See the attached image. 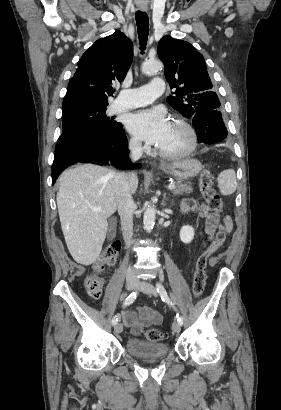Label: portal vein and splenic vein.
Here are the masks:
<instances>
[{"label": "portal vein and splenic vein", "mask_w": 281, "mask_h": 410, "mask_svg": "<svg viewBox=\"0 0 281 410\" xmlns=\"http://www.w3.org/2000/svg\"><path fill=\"white\" fill-rule=\"evenodd\" d=\"M168 189H169V190L175 189V185H174V184H169V185H168ZM101 210H102L101 207H93V208H92V211H95V212H98V211H101Z\"/></svg>", "instance_id": "portal-vein-and-splenic-vein-1"}]
</instances>
